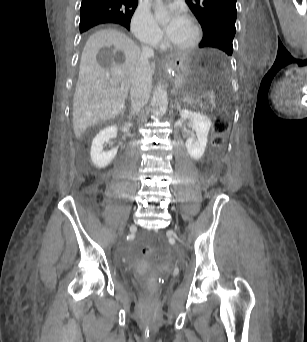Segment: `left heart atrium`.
I'll use <instances>...</instances> for the list:
<instances>
[{
	"label": "left heart atrium",
	"mask_w": 307,
	"mask_h": 342,
	"mask_svg": "<svg viewBox=\"0 0 307 342\" xmlns=\"http://www.w3.org/2000/svg\"><path fill=\"white\" fill-rule=\"evenodd\" d=\"M157 25L161 33V38L170 44L184 32L188 24L183 16L173 12L166 23L162 24L157 22Z\"/></svg>",
	"instance_id": "left-heart-atrium-1"
}]
</instances>
